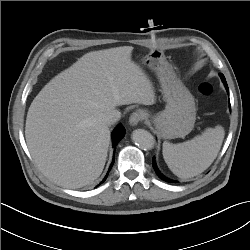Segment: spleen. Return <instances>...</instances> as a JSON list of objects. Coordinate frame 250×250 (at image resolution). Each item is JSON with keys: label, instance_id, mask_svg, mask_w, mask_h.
I'll return each mask as SVG.
<instances>
[{"label": "spleen", "instance_id": "1", "mask_svg": "<svg viewBox=\"0 0 250 250\" xmlns=\"http://www.w3.org/2000/svg\"><path fill=\"white\" fill-rule=\"evenodd\" d=\"M224 129L218 125L183 143H163V157L177 177L188 179L205 171L215 160L224 139Z\"/></svg>", "mask_w": 250, "mask_h": 250}]
</instances>
